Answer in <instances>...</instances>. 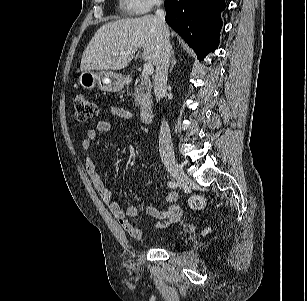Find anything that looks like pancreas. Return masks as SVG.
I'll return each mask as SVG.
<instances>
[{"label": "pancreas", "mask_w": 307, "mask_h": 301, "mask_svg": "<svg viewBox=\"0 0 307 301\" xmlns=\"http://www.w3.org/2000/svg\"><path fill=\"white\" fill-rule=\"evenodd\" d=\"M151 81L146 76L141 77V83L138 87H136V101L141 100L143 98L149 99L151 97Z\"/></svg>", "instance_id": "obj_1"}]
</instances>
